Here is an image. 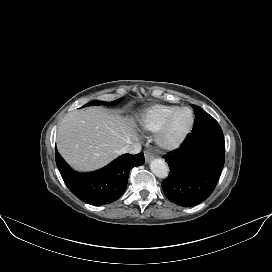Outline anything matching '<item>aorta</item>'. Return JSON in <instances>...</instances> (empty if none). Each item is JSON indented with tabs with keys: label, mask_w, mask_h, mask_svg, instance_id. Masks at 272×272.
Instances as JSON below:
<instances>
[{
	"label": "aorta",
	"mask_w": 272,
	"mask_h": 272,
	"mask_svg": "<svg viewBox=\"0 0 272 272\" xmlns=\"http://www.w3.org/2000/svg\"><path fill=\"white\" fill-rule=\"evenodd\" d=\"M150 170L158 178H166L169 174V167L166 162L161 159H154L150 162Z\"/></svg>",
	"instance_id": "obj_1"
}]
</instances>
